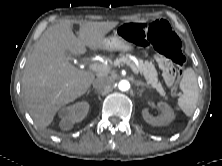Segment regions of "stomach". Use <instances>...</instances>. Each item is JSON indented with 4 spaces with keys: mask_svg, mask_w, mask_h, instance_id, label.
I'll return each instance as SVG.
<instances>
[{
    "mask_svg": "<svg viewBox=\"0 0 222 166\" xmlns=\"http://www.w3.org/2000/svg\"><path fill=\"white\" fill-rule=\"evenodd\" d=\"M101 49L108 51L129 52L133 50V47L129 41L122 39V37L116 31L114 35L103 39Z\"/></svg>",
    "mask_w": 222,
    "mask_h": 166,
    "instance_id": "1",
    "label": "stomach"
}]
</instances>
